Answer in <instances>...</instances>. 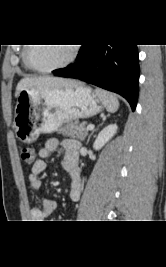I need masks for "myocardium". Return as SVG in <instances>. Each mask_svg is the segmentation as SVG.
<instances>
[{
	"mask_svg": "<svg viewBox=\"0 0 166 267\" xmlns=\"http://www.w3.org/2000/svg\"><path fill=\"white\" fill-rule=\"evenodd\" d=\"M31 48H32V44H28V46H26V48L24 50V61L30 69L37 71V72H40V73H49V72H53V71L65 68L75 60V58L78 54L77 46L72 45L71 46V53H70L69 57L64 62L60 63L59 65L52 66L49 68H40V67H36L35 65H33L32 62L30 61V49Z\"/></svg>",
	"mask_w": 166,
	"mask_h": 267,
	"instance_id": "f54148a6",
	"label": "myocardium"
}]
</instances>
